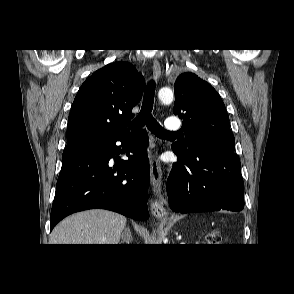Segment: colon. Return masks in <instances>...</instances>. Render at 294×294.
Masks as SVG:
<instances>
[{
  "label": "colon",
  "mask_w": 294,
  "mask_h": 294,
  "mask_svg": "<svg viewBox=\"0 0 294 294\" xmlns=\"http://www.w3.org/2000/svg\"><path fill=\"white\" fill-rule=\"evenodd\" d=\"M206 243L209 246H215L218 243V235L215 231H210L207 235H206Z\"/></svg>",
  "instance_id": "1"
}]
</instances>
